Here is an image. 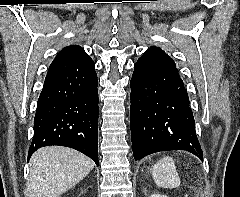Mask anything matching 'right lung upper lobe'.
Wrapping results in <instances>:
<instances>
[{
  "mask_svg": "<svg viewBox=\"0 0 240 197\" xmlns=\"http://www.w3.org/2000/svg\"><path fill=\"white\" fill-rule=\"evenodd\" d=\"M92 59L78 45L63 48L51 63L48 74L81 70L93 66Z\"/></svg>",
  "mask_w": 240,
  "mask_h": 197,
  "instance_id": "cb5924a9",
  "label": "right lung upper lobe"
}]
</instances>
